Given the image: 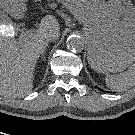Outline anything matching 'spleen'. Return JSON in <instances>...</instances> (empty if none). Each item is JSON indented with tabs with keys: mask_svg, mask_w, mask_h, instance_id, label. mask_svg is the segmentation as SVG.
<instances>
[{
	"mask_svg": "<svg viewBox=\"0 0 135 135\" xmlns=\"http://www.w3.org/2000/svg\"><path fill=\"white\" fill-rule=\"evenodd\" d=\"M107 87L114 91L122 92L135 85V63L125 72L105 77Z\"/></svg>",
	"mask_w": 135,
	"mask_h": 135,
	"instance_id": "1",
	"label": "spleen"
}]
</instances>
